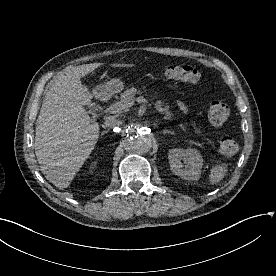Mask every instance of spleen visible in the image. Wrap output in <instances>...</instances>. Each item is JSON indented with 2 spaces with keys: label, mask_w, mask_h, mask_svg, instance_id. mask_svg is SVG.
I'll return each mask as SVG.
<instances>
[{
  "label": "spleen",
  "mask_w": 276,
  "mask_h": 276,
  "mask_svg": "<svg viewBox=\"0 0 276 276\" xmlns=\"http://www.w3.org/2000/svg\"><path fill=\"white\" fill-rule=\"evenodd\" d=\"M228 172V168L226 164H218L211 168L209 174V182L210 184H218Z\"/></svg>",
  "instance_id": "3e777b00"
}]
</instances>
